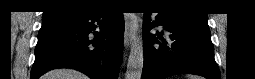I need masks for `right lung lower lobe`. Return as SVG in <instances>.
<instances>
[{
	"mask_svg": "<svg viewBox=\"0 0 255 79\" xmlns=\"http://www.w3.org/2000/svg\"><path fill=\"white\" fill-rule=\"evenodd\" d=\"M94 32V38L89 36ZM123 13L73 11L43 18L31 79L55 68H73L92 79H117L122 59Z\"/></svg>",
	"mask_w": 255,
	"mask_h": 79,
	"instance_id": "right-lung-lower-lobe-1",
	"label": "right lung lower lobe"
}]
</instances>
